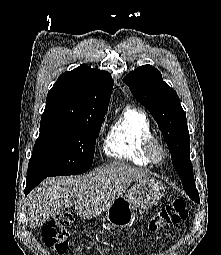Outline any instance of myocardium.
Instances as JSON below:
<instances>
[{
	"label": "myocardium",
	"mask_w": 221,
	"mask_h": 255,
	"mask_svg": "<svg viewBox=\"0 0 221 255\" xmlns=\"http://www.w3.org/2000/svg\"><path fill=\"white\" fill-rule=\"evenodd\" d=\"M145 153L151 162L162 163L167 157L164 144L156 137L150 138L145 144Z\"/></svg>",
	"instance_id": "1"
}]
</instances>
